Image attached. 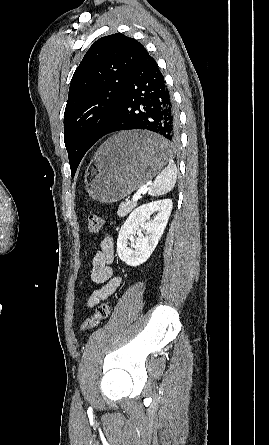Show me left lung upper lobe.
<instances>
[{
    "instance_id": "1",
    "label": "left lung upper lobe",
    "mask_w": 269,
    "mask_h": 445,
    "mask_svg": "<svg viewBox=\"0 0 269 445\" xmlns=\"http://www.w3.org/2000/svg\"><path fill=\"white\" fill-rule=\"evenodd\" d=\"M145 51L135 39L112 34L94 42L76 69L64 112V142L72 177L85 153L114 120Z\"/></svg>"
}]
</instances>
